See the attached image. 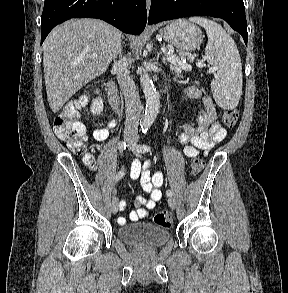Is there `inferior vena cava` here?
Listing matches in <instances>:
<instances>
[{
	"instance_id": "inferior-vena-cava-1",
	"label": "inferior vena cava",
	"mask_w": 288,
	"mask_h": 293,
	"mask_svg": "<svg viewBox=\"0 0 288 293\" xmlns=\"http://www.w3.org/2000/svg\"><path fill=\"white\" fill-rule=\"evenodd\" d=\"M120 48L121 45L119 43L115 49L114 58H116L117 54H119V57L121 56ZM128 67L129 62L126 57L119 58V60L114 61L113 64V68L117 72V80L120 89L123 92L125 99L126 122L124 135L137 140L138 124L141 117L142 105L133 78L130 76Z\"/></svg>"
}]
</instances>
